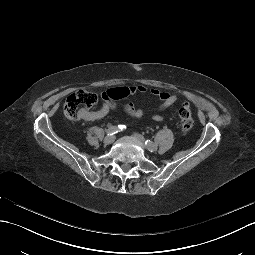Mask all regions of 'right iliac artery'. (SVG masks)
I'll return each instance as SVG.
<instances>
[{"label": "right iliac artery", "instance_id": "82829eb1", "mask_svg": "<svg viewBox=\"0 0 255 255\" xmlns=\"http://www.w3.org/2000/svg\"><path fill=\"white\" fill-rule=\"evenodd\" d=\"M125 129L124 125H118V126H110L107 130L106 133L108 136L114 135L119 131H123Z\"/></svg>", "mask_w": 255, "mask_h": 255}]
</instances>
